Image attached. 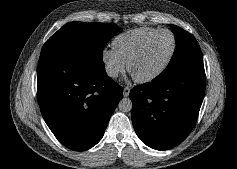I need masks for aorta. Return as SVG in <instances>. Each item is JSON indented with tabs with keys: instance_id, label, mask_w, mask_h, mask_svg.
I'll use <instances>...</instances> for the list:
<instances>
[{
	"instance_id": "762f6f07",
	"label": "aorta",
	"mask_w": 237,
	"mask_h": 169,
	"mask_svg": "<svg viewBox=\"0 0 237 169\" xmlns=\"http://www.w3.org/2000/svg\"><path fill=\"white\" fill-rule=\"evenodd\" d=\"M118 108L121 112H130L132 110V101L129 98H122Z\"/></svg>"
}]
</instances>
